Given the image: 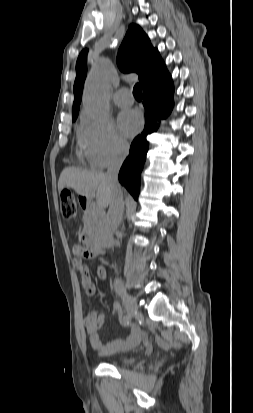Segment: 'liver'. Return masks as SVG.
I'll return each instance as SVG.
<instances>
[{"label": "liver", "mask_w": 253, "mask_h": 413, "mask_svg": "<svg viewBox=\"0 0 253 413\" xmlns=\"http://www.w3.org/2000/svg\"><path fill=\"white\" fill-rule=\"evenodd\" d=\"M64 188H71L90 199L96 197L97 206L101 210L110 206L115 198V190L102 172L67 167L58 180V191L61 192Z\"/></svg>", "instance_id": "obj_1"}]
</instances>
